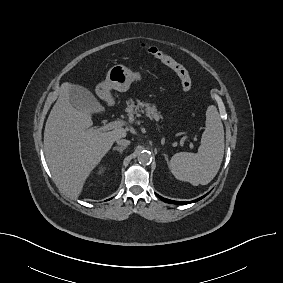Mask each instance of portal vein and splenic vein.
<instances>
[{"instance_id": "1", "label": "portal vein and splenic vein", "mask_w": 283, "mask_h": 283, "mask_svg": "<svg viewBox=\"0 0 283 283\" xmlns=\"http://www.w3.org/2000/svg\"><path fill=\"white\" fill-rule=\"evenodd\" d=\"M141 121H138V123H140ZM125 125V122L120 120V121H114V122H109L104 124V126H102L101 128H99L102 131H107V130H111V129H115V128H119ZM190 148L193 149V144L190 143Z\"/></svg>"}]
</instances>
